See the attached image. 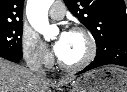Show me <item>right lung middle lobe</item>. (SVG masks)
<instances>
[{"label":"right lung middle lobe","mask_w":127,"mask_h":92,"mask_svg":"<svg viewBox=\"0 0 127 92\" xmlns=\"http://www.w3.org/2000/svg\"><path fill=\"white\" fill-rule=\"evenodd\" d=\"M22 32V23L0 25V48L16 53H21Z\"/></svg>","instance_id":"1"}]
</instances>
